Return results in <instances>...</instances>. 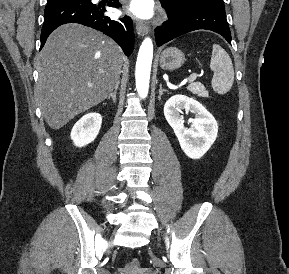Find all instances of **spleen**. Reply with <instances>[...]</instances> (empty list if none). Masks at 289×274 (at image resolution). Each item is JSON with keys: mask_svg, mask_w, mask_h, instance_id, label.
<instances>
[{"mask_svg": "<svg viewBox=\"0 0 289 274\" xmlns=\"http://www.w3.org/2000/svg\"><path fill=\"white\" fill-rule=\"evenodd\" d=\"M210 68L214 72L211 85L218 94L227 93L234 82V69L230 56L218 44L212 47Z\"/></svg>", "mask_w": 289, "mask_h": 274, "instance_id": "spleen-1", "label": "spleen"}]
</instances>
